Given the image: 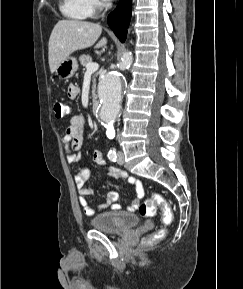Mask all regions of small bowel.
<instances>
[{"label":"small bowel","mask_w":243,"mask_h":289,"mask_svg":"<svg viewBox=\"0 0 243 289\" xmlns=\"http://www.w3.org/2000/svg\"><path fill=\"white\" fill-rule=\"evenodd\" d=\"M68 97L75 99L79 94V87L70 84L67 88ZM85 118L81 114H75L70 118L69 125L63 136V145L65 149V157L68 163L74 164L78 168V174L75 176L76 186L79 192V203L87 216L95 214L87 200V197L93 194V190L87 186L90 180V171L81 162L80 150L84 143ZM93 162L97 166H104L105 160L101 151L95 150L92 154ZM108 176L113 179L127 180L135 189V197L131 204L127 207L128 211H135L144 196V188L142 183L133 176L128 175L125 171L115 167L108 169ZM118 194L111 191L107 194L106 200L97 206L98 211H106L108 209L120 210L121 206L117 203Z\"/></svg>","instance_id":"small-bowel-1"}]
</instances>
